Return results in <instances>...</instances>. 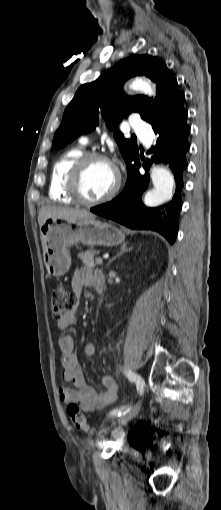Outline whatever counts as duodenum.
Wrapping results in <instances>:
<instances>
[{"instance_id": "1", "label": "duodenum", "mask_w": 221, "mask_h": 510, "mask_svg": "<svg viewBox=\"0 0 221 510\" xmlns=\"http://www.w3.org/2000/svg\"><path fill=\"white\" fill-rule=\"evenodd\" d=\"M104 283H105L104 273L102 271H97L95 274L94 285L98 292H102V290L104 288Z\"/></svg>"}]
</instances>
